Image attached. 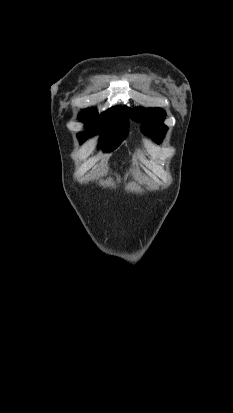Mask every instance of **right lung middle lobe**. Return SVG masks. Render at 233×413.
Instances as JSON below:
<instances>
[{
  "label": "right lung middle lobe",
  "mask_w": 233,
  "mask_h": 413,
  "mask_svg": "<svg viewBox=\"0 0 233 413\" xmlns=\"http://www.w3.org/2000/svg\"><path fill=\"white\" fill-rule=\"evenodd\" d=\"M124 110L122 107L110 108L101 115L97 114L95 109L83 110L78 118L85 122L87 131L78 134L80 142L98 133L104 151L111 152L116 149L128 134V111L125 108Z\"/></svg>",
  "instance_id": "1"
}]
</instances>
